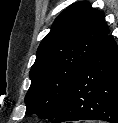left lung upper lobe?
Instances as JSON below:
<instances>
[{
	"instance_id": "left-lung-upper-lobe-1",
	"label": "left lung upper lobe",
	"mask_w": 118,
	"mask_h": 123,
	"mask_svg": "<svg viewBox=\"0 0 118 123\" xmlns=\"http://www.w3.org/2000/svg\"><path fill=\"white\" fill-rule=\"evenodd\" d=\"M108 32L104 13L91 8L89 2L79 1L66 8L38 47L29 73L26 114L55 119L78 74Z\"/></svg>"
}]
</instances>
